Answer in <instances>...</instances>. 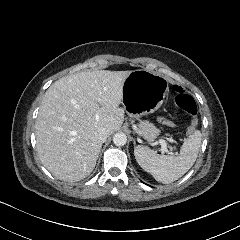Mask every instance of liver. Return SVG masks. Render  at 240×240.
<instances>
[{
    "label": "liver",
    "mask_w": 240,
    "mask_h": 240,
    "mask_svg": "<svg viewBox=\"0 0 240 240\" xmlns=\"http://www.w3.org/2000/svg\"><path fill=\"white\" fill-rule=\"evenodd\" d=\"M131 71L96 70L66 75L43 96L35 122L36 148L41 163L57 179L79 181L96 165L102 143L98 129L121 128L119 107Z\"/></svg>",
    "instance_id": "obj_1"
}]
</instances>
